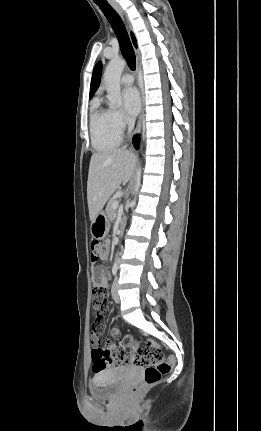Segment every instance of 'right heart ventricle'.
Wrapping results in <instances>:
<instances>
[{"mask_svg": "<svg viewBox=\"0 0 261 431\" xmlns=\"http://www.w3.org/2000/svg\"><path fill=\"white\" fill-rule=\"evenodd\" d=\"M90 134L94 149L108 152L117 148L121 142V133L111 125L109 110L102 108L95 101L90 115Z\"/></svg>", "mask_w": 261, "mask_h": 431, "instance_id": "1", "label": "right heart ventricle"}]
</instances>
